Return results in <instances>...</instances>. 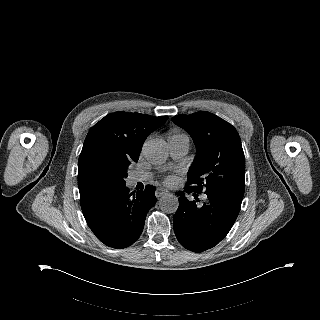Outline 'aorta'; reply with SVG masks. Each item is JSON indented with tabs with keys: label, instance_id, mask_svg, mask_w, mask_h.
I'll use <instances>...</instances> for the list:
<instances>
[{
	"label": "aorta",
	"instance_id": "1",
	"mask_svg": "<svg viewBox=\"0 0 320 320\" xmlns=\"http://www.w3.org/2000/svg\"><path fill=\"white\" fill-rule=\"evenodd\" d=\"M143 153L153 164H163L169 156V147L162 139H150L144 143ZM159 206L165 213H175L179 206L178 198L173 194H166L160 198Z\"/></svg>",
	"mask_w": 320,
	"mask_h": 320
}]
</instances>
